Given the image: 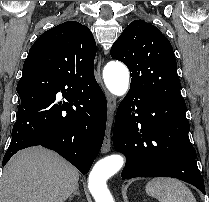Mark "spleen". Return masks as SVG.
<instances>
[{
	"label": "spleen",
	"instance_id": "3e777b00",
	"mask_svg": "<svg viewBox=\"0 0 209 202\" xmlns=\"http://www.w3.org/2000/svg\"><path fill=\"white\" fill-rule=\"evenodd\" d=\"M146 193L160 202H196L190 189L172 178H154L146 185Z\"/></svg>",
	"mask_w": 209,
	"mask_h": 202
}]
</instances>
